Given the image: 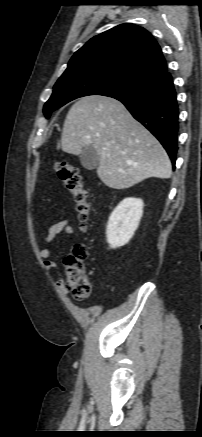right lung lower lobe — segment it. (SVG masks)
<instances>
[{
	"label": "right lung lower lobe",
	"instance_id": "obj_1",
	"mask_svg": "<svg viewBox=\"0 0 202 437\" xmlns=\"http://www.w3.org/2000/svg\"><path fill=\"white\" fill-rule=\"evenodd\" d=\"M122 102L163 145L175 166L178 105L173 80L167 71L135 94L113 97Z\"/></svg>",
	"mask_w": 202,
	"mask_h": 437
}]
</instances>
